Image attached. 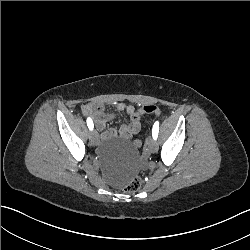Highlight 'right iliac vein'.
Here are the masks:
<instances>
[{
	"instance_id": "63e3f726",
	"label": "right iliac vein",
	"mask_w": 250,
	"mask_h": 250,
	"mask_svg": "<svg viewBox=\"0 0 250 250\" xmlns=\"http://www.w3.org/2000/svg\"><path fill=\"white\" fill-rule=\"evenodd\" d=\"M90 142L92 146H96L98 144V134L96 131H93L89 134Z\"/></svg>"
}]
</instances>
